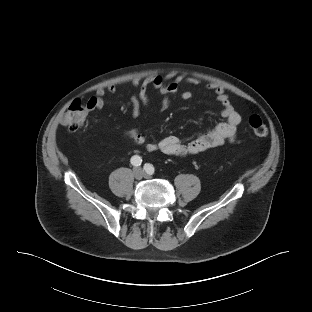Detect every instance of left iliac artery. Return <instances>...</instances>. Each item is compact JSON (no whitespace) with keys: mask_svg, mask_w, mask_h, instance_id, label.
Here are the masks:
<instances>
[{"mask_svg":"<svg viewBox=\"0 0 312 312\" xmlns=\"http://www.w3.org/2000/svg\"><path fill=\"white\" fill-rule=\"evenodd\" d=\"M144 170L147 172V174L152 175L154 173V167L153 165L147 163L144 165Z\"/></svg>","mask_w":312,"mask_h":312,"instance_id":"1","label":"left iliac artery"}]
</instances>
